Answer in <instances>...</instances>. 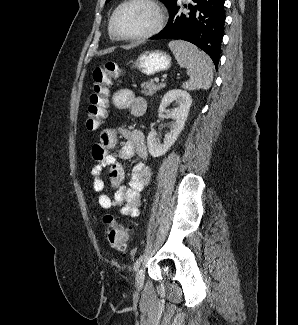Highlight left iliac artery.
I'll use <instances>...</instances> for the list:
<instances>
[{"label": "left iliac artery", "instance_id": "44dca946", "mask_svg": "<svg viewBox=\"0 0 298 325\" xmlns=\"http://www.w3.org/2000/svg\"><path fill=\"white\" fill-rule=\"evenodd\" d=\"M142 258H143V256H140V257L136 260V262L134 263V267H133L134 271H137V270L139 269L140 264H141V262H142Z\"/></svg>", "mask_w": 298, "mask_h": 325}]
</instances>
